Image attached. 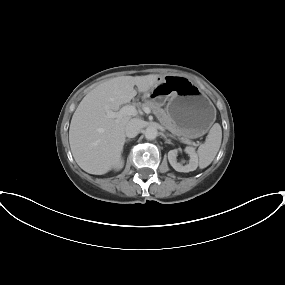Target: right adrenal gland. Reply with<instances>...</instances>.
<instances>
[{"mask_svg": "<svg viewBox=\"0 0 285 285\" xmlns=\"http://www.w3.org/2000/svg\"><path fill=\"white\" fill-rule=\"evenodd\" d=\"M130 141V139H127L126 142Z\"/></svg>", "mask_w": 285, "mask_h": 285, "instance_id": "obj_1", "label": "right adrenal gland"}]
</instances>
